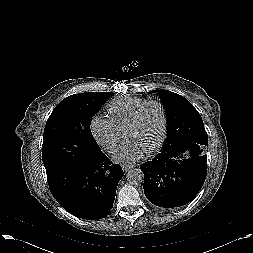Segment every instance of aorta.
Masks as SVG:
<instances>
[{
    "label": "aorta",
    "instance_id": "1",
    "mask_svg": "<svg viewBox=\"0 0 253 253\" xmlns=\"http://www.w3.org/2000/svg\"><path fill=\"white\" fill-rule=\"evenodd\" d=\"M126 177H127V180L129 183H131L133 185H137L143 181L144 174L141 169L133 168L128 171Z\"/></svg>",
    "mask_w": 253,
    "mask_h": 253
}]
</instances>
